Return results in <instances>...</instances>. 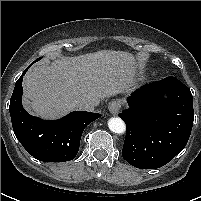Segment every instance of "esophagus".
Wrapping results in <instances>:
<instances>
[{
	"label": "esophagus",
	"instance_id": "1",
	"mask_svg": "<svg viewBox=\"0 0 201 201\" xmlns=\"http://www.w3.org/2000/svg\"><path fill=\"white\" fill-rule=\"evenodd\" d=\"M120 108H121V102L118 100L112 101L108 106L110 113L114 116L118 115Z\"/></svg>",
	"mask_w": 201,
	"mask_h": 201
}]
</instances>
